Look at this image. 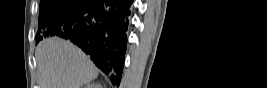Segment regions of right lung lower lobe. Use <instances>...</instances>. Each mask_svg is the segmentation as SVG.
Returning <instances> with one entry per match:
<instances>
[{"label":"right lung lower lobe","mask_w":267,"mask_h":88,"mask_svg":"<svg viewBox=\"0 0 267 88\" xmlns=\"http://www.w3.org/2000/svg\"><path fill=\"white\" fill-rule=\"evenodd\" d=\"M133 0H83L72 12L52 21L45 36L69 39L95 65L120 84Z\"/></svg>","instance_id":"right-lung-lower-lobe-1"}]
</instances>
